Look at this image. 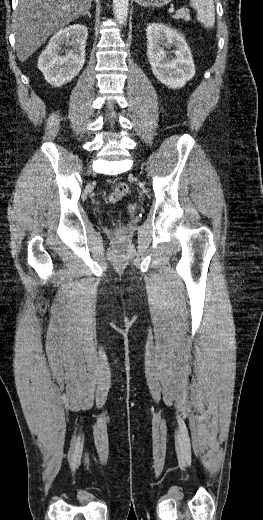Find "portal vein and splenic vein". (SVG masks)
<instances>
[{
    "instance_id": "1",
    "label": "portal vein and splenic vein",
    "mask_w": 263,
    "mask_h": 520,
    "mask_svg": "<svg viewBox=\"0 0 263 520\" xmlns=\"http://www.w3.org/2000/svg\"><path fill=\"white\" fill-rule=\"evenodd\" d=\"M169 12H170V13H173V12H174V8H173V6H171V7L169 8Z\"/></svg>"
}]
</instances>
